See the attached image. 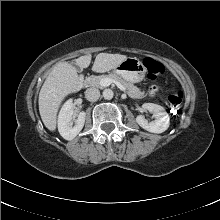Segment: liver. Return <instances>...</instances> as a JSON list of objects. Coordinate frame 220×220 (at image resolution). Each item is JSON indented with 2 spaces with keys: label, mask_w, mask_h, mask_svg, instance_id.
Here are the masks:
<instances>
[{
  "label": "liver",
  "mask_w": 220,
  "mask_h": 220,
  "mask_svg": "<svg viewBox=\"0 0 220 220\" xmlns=\"http://www.w3.org/2000/svg\"><path fill=\"white\" fill-rule=\"evenodd\" d=\"M92 56L85 55L74 60L80 68H87ZM127 56L121 54L99 53L92 66L97 73L115 69ZM79 85L78 71L75 66L67 62L57 63L46 78L39 93V112L45 127L55 131L57 113L64 98L73 93Z\"/></svg>",
  "instance_id": "6515ba94"
}]
</instances>
